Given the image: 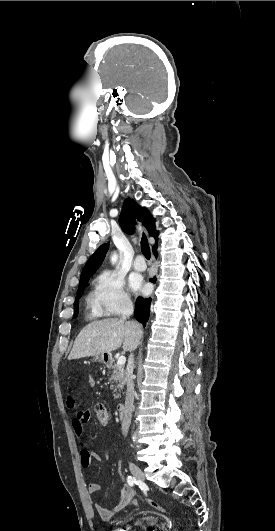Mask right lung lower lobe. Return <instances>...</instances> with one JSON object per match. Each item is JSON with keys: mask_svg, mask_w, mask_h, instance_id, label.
<instances>
[{"mask_svg": "<svg viewBox=\"0 0 275 531\" xmlns=\"http://www.w3.org/2000/svg\"><path fill=\"white\" fill-rule=\"evenodd\" d=\"M153 253L155 256H157V245L153 247ZM150 281L155 283L156 278L153 277L152 279H150ZM150 304L151 298L144 299L142 297H138L136 300L134 315L135 318L143 325H146V322L149 319Z\"/></svg>", "mask_w": 275, "mask_h": 531, "instance_id": "right-lung-lower-lobe-1", "label": "right lung lower lobe"}]
</instances>
